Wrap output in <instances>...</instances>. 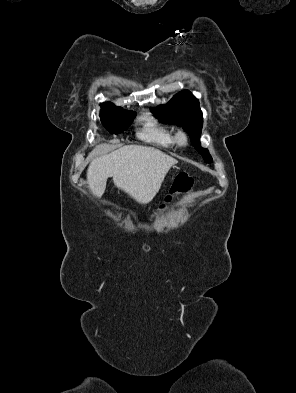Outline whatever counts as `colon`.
Segmentation results:
<instances>
[{
	"instance_id": "1",
	"label": "colon",
	"mask_w": 296,
	"mask_h": 393,
	"mask_svg": "<svg viewBox=\"0 0 296 393\" xmlns=\"http://www.w3.org/2000/svg\"><path fill=\"white\" fill-rule=\"evenodd\" d=\"M193 186V179L187 175L186 173H180L178 174L173 182L172 188H171V195L166 198V202H171L173 200V195H178V194H185ZM165 207L162 206L161 209H164Z\"/></svg>"
}]
</instances>
